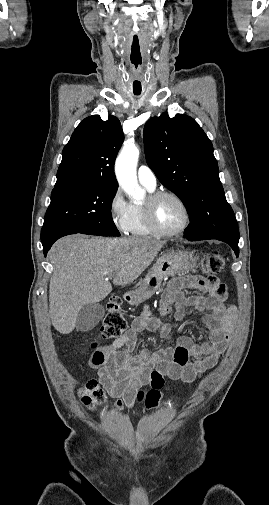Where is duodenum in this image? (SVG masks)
<instances>
[{
  "label": "duodenum",
  "mask_w": 269,
  "mask_h": 505,
  "mask_svg": "<svg viewBox=\"0 0 269 505\" xmlns=\"http://www.w3.org/2000/svg\"><path fill=\"white\" fill-rule=\"evenodd\" d=\"M125 298H126V300L130 301V300L132 299V296H131L130 294H127V295L125 296Z\"/></svg>",
  "instance_id": "obj_1"
}]
</instances>
